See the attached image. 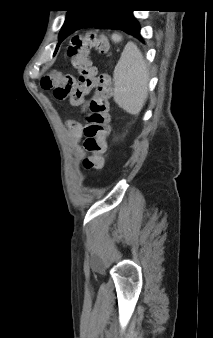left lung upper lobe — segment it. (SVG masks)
I'll return each instance as SVG.
<instances>
[{
    "label": "left lung upper lobe",
    "instance_id": "1",
    "mask_svg": "<svg viewBox=\"0 0 213 338\" xmlns=\"http://www.w3.org/2000/svg\"><path fill=\"white\" fill-rule=\"evenodd\" d=\"M86 11V9H71L70 11H68L65 23L59 33L58 36V40L59 43L57 44V48L60 45V42H62V40L67 36V32L70 28V26L73 24V22L81 16V14Z\"/></svg>",
    "mask_w": 213,
    "mask_h": 338
}]
</instances>
